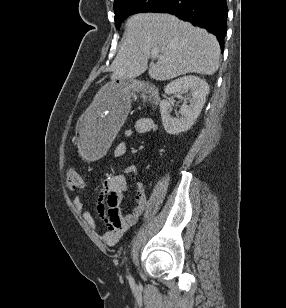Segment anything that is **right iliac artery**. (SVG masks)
Wrapping results in <instances>:
<instances>
[{"label":"right iliac artery","mask_w":286,"mask_h":308,"mask_svg":"<svg viewBox=\"0 0 286 308\" xmlns=\"http://www.w3.org/2000/svg\"><path fill=\"white\" fill-rule=\"evenodd\" d=\"M128 279H129V282L131 283V284H133V279H132V277L129 275L128 276Z\"/></svg>","instance_id":"82829eb1"}]
</instances>
